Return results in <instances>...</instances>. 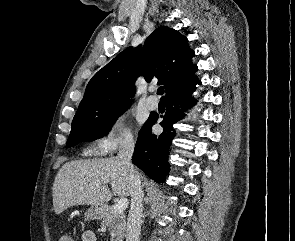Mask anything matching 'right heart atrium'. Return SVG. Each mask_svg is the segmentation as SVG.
<instances>
[{"mask_svg": "<svg viewBox=\"0 0 295 241\" xmlns=\"http://www.w3.org/2000/svg\"><path fill=\"white\" fill-rule=\"evenodd\" d=\"M132 143L133 136L123 114H118L108 119L96 141L97 149L102 154H110L119 145H129Z\"/></svg>", "mask_w": 295, "mask_h": 241, "instance_id": "1", "label": "right heart atrium"}]
</instances>
